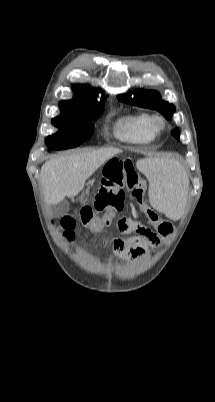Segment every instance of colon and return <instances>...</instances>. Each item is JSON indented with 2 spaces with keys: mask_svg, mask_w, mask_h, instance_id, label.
I'll list each match as a JSON object with an SVG mask.
<instances>
[{
  "mask_svg": "<svg viewBox=\"0 0 215 402\" xmlns=\"http://www.w3.org/2000/svg\"><path fill=\"white\" fill-rule=\"evenodd\" d=\"M133 163V156H111L105 161L103 176L106 180L96 195L93 206H85L81 209V223L91 231L100 230L111 224L116 213L123 209L125 191H127L141 207L147 219L153 223L158 233L164 237L170 236L174 226L145 205L146 183L134 168ZM136 222L134 218H120L117 223L118 229L121 231L133 228ZM62 226L65 229V236L72 239L74 220L66 217L62 220Z\"/></svg>",
  "mask_w": 215,
  "mask_h": 402,
  "instance_id": "colon-1",
  "label": "colon"
}]
</instances>
